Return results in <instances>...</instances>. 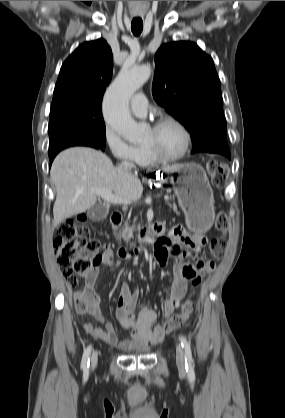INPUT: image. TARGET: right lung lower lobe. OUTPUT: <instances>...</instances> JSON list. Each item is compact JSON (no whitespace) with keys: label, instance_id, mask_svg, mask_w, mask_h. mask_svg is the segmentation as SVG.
Wrapping results in <instances>:
<instances>
[{"label":"right lung lower lobe","instance_id":"obj_1","mask_svg":"<svg viewBox=\"0 0 285 418\" xmlns=\"http://www.w3.org/2000/svg\"><path fill=\"white\" fill-rule=\"evenodd\" d=\"M75 146H89V147H93V148H96V149H101L99 146L94 145V144H80V145H75ZM55 156L49 157L51 162L53 161Z\"/></svg>","mask_w":285,"mask_h":418}]
</instances>
